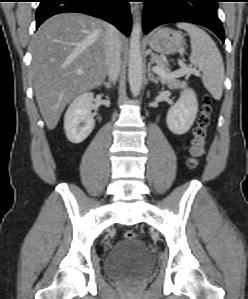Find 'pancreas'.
<instances>
[{"mask_svg": "<svg viewBox=\"0 0 248 299\" xmlns=\"http://www.w3.org/2000/svg\"><path fill=\"white\" fill-rule=\"evenodd\" d=\"M152 61L154 63H156L157 67H161L167 75L170 74V69L168 68L165 61L161 57H159L157 55H152ZM159 79L163 84H166L171 89L172 88H184L187 86L186 82L180 81L177 78L159 76Z\"/></svg>", "mask_w": 248, "mask_h": 299, "instance_id": "1", "label": "pancreas"}]
</instances>
